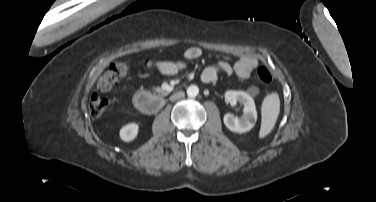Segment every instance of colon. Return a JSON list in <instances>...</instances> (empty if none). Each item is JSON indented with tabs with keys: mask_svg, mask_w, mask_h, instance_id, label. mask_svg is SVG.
Listing matches in <instances>:
<instances>
[{
	"mask_svg": "<svg viewBox=\"0 0 376 202\" xmlns=\"http://www.w3.org/2000/svg\"><path fill=\"white\" fill-rule=\"evenodd\" d=\"M129 71V65L126 62H115L99 78L97 89L101 93L111 91L117 84L118 78L126 75ZM257 78L263 84H269L272 81V74L266 67L257 69ZM108 108V100L96 93L92 94L89 101L90 114L93 117L101 116Z\"/></svg>",
	"mask_w": 376,
	"mask_h": 202,
	"instance_id": "obj_1",
	"label": "colon"
}]
</instances>
